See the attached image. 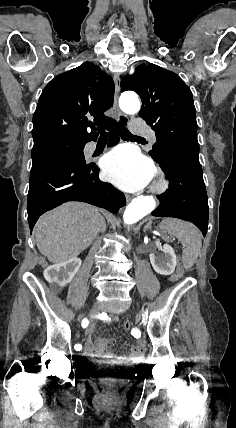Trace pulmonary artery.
Segmentation results:
<instances>
[{
  "label": "pulmonary artery",
  "instance_id": "e3ab8cb5",
  "mask_svg": "<svg viewBox=\"0 0 236 428\" xmlns=\"http://www.w3.org/2000/svg\"><path fill=\"white\" fill-rule=\"evenodd\" d=\"M150 139L152 140V141H155L156 140V136L155 135H153V136H151L150 137ZM96 149H97V146H96V144L95 143H89L87 146H86V152L88 153V154H92V153H94L95 151H96Z\"/></svg>",
  "mask_w": 236,
  "mask_h": 428
}]
</instances>
